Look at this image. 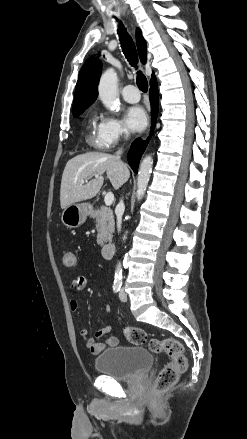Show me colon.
<instances>
[{"label":"colon","instance_id":"obj_1","mask_svg":"<svg viewBox=\"0 0 247 439\" xmlns=\"http://www.w3.org/2000/svg\"><path fill=\"white\" fill-rule=\"evenodd\" d=\"M63 264L66 267H75L77 265L76 255L72 252H65L63 255ZM124 335L131 344L143 345L147 343L152 352L166 353L168 361L160 370L154 382L153 391L155 393H162L171 388L186 371L188 360L183 346L178 341L170 338L148 340L146 332L135 326L127 327L124 331Z\"/></svg>","mask_w":247,"mask_h":439}]
</instances>
